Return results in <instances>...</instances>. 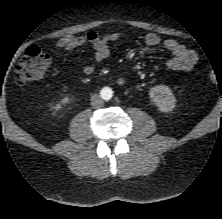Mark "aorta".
Returning a JSON list of instances; mask_svg holds the SVG:
<instances>
[{"mask_svg":"<svg viewBox=\"0 0 222 219\" xmlns=\"http://www.w3.org/2000/svg\"><path fill=\"white\" fill-rule=\"evenodd\" d=\"M108 92H109V94L111 95V93H112V92H111V90H110V89H108Z\"/></svg>","mask_w":222,"mask_h":219,"instance_id":"1","label":"aorta"}]
</instances>
